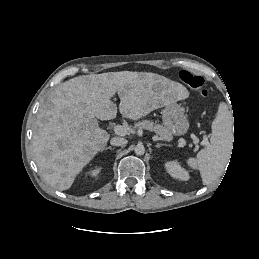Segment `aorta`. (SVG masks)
Segmentation results:
<instances>
[{
    "instance_id": "762f6f07",
    "label": "aorta",
    "mask_w": 259,
    "mask_h": 259,
    "mask_svg": "<svg viewBox=\"0 0 259 259\" xmlns=\"http://www.w3.org/2000/svg\"><path fill=\"white\" fill-rule=\"evenodd\" d=\"M134 152L136 155L141 156L145 153V148L143 145H137L134 149Z\"/></svg>"
}]
</instances>
